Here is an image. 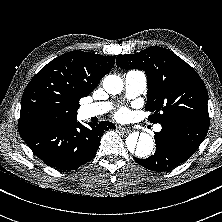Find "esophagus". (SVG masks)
Here are the masks:
<instances>
[{
  "label": "esophagus",
  "mask_w": 222,
  "mask_h": 222,
  "mask_svg": "<svg viewBox=\"0 0 222 222\" xmlns=\"http://www.w3.org/2000/svg\"><path fill=\"white\" fill-rule=\"evenodd\" d=\"M117 129L123 134H128L131 131L130 128L122 127V126L117 127Z\"/></svg>",
  "instance_id": "1"
}]
</instances>
